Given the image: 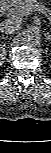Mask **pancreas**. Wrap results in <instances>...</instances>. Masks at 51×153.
<instances>
[{"mask_svg":"<svg viewBox=\"0 0 51 153\" xmlns=\"http://www.w3.org/2000/svg\"><path fill=\"white\" fill-rule=\"evenodd\" d=\"M38 2L37 0H24L23 2H19L15 4L12 8L9 10V14L11 16L21 18L24 15V11L26 8L30 7L33 8L34 6H37Z\"/></svg>","mask_w":51,"mask_h":153,"instance_id":"pancreas-1","label":"pancreas"}]
</instances>
